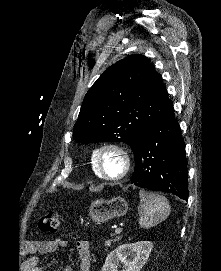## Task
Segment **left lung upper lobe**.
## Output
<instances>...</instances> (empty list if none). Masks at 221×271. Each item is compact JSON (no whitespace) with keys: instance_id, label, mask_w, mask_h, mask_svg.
Wrapping results in <instances>:
<instances>
[{"instance_id":"obj_1","label":"left lung upper lobe","mask_w":221,"mask_h":271,"mask_svg":"<svg viewBox=\"0 0 221 271\" xmlns=\"http://www.w3.org/2000/svg\"><path fill=\"white\" fill-rule=\"evenodd\" d=\"M172 104L154 66L130 55L110 66L89 89L74 126L78 142L118 141L132 147L139 134Z\"/></svg>"}]
</instances>
